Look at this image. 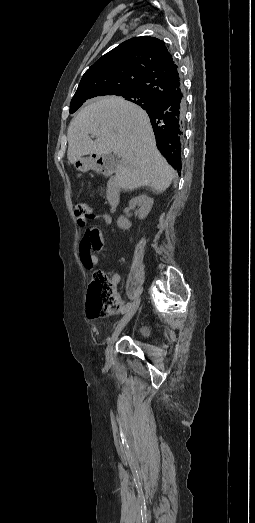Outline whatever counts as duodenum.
I'll return each instance as SVG.
<instances>
[{
  "mask_svg": "<svg viewBox=\"0 0 255 523\" xmlns=\"http://www.w3.org/2000/svg\"><path fill=\"white\" fill-rule=\"evenodd\" d=\"M84 167L109 177L106 199L111 209H116L120 203V184L110 161L101 155L93 154L84 161Z\"/></svg>",
  "mask_w": 255,
  "mask_h": 523,
  "instance_id": "duodenum-1",
  "label": "duodenum"
}]
</instances>
